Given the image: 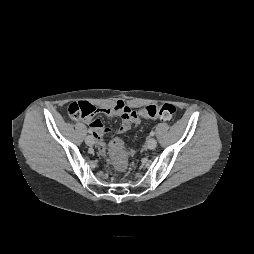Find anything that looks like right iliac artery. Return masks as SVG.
Returning <instances> with one entry per match:
<instances>
[{
  "mask_svg": "<svg viewBox=\"0 0 254 254\" xmlns=\"http://www.w3.org/2000/svg\"><path fill=\"white\" fill-rule=\"evenodd\" d=\"M89 133H91V130L89 129V131H88Z\"/></svg>",
  "mask_w": 254,
  "mask_h": 254,
  "instance_id": "1",
  "label": "right iliac artery"
}]
</instances>
